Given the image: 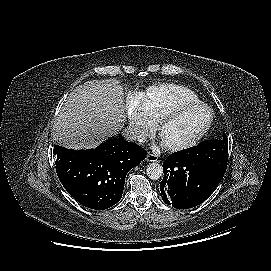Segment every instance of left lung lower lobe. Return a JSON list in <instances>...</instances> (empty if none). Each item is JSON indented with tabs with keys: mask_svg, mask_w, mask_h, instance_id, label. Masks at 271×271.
I'll use <instances>...</instances> for the list:
<instances>
[{
	"mask_svg": "<svg viewBox=\"0 0 271 271\" xmlns=\"http://www.w3.org/2000/svg\"><path fill=\"white\" fill-rule=\"evenodd\" d=\"M163 170L164 178L160 184L162 199L178 209H188L202 203L224 175V172L179 152L167 157Z\"/></svg>",
	"mask_w": 271,
	"mask_h": 271,
	"instance_id": "obj_1",
	"label": "left lung lower lobe"
}]
</instances>
